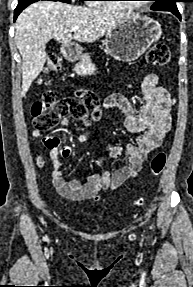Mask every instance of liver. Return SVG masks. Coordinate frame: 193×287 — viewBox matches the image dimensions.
<instances>
[{
    "instance_id": "1",
    "label": "liver",
    "mask_w": 193,
    "mask_h": 287,
    "mask_svg": "<svg viewBox=\"0 0 193 287\" xmlns=\"http://www.w3.org/2000/svg\"><path fill=\"white\" fill-rule=\"evenodd\" d=\"M133 16L53 1H39L28 6L15 23V42L22 56L21 96L26 95L43 69L47 59L45 47L51 39L63 44H69L72 39L92 43ZM73 27L78 30L72 36Z\"/></svg>"
}]
</instances>
